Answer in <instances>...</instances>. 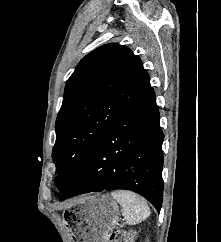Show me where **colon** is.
<instances>
[{
  "label": "colon",
  "instance_id": "5ec220e1",
  "mask_svg": "<svg viewBox=\"0 0 221 242\" xmlns=\"http://www.w3.org/2000/svg\"><path fill=\"white\" fill-rule=\"evenodd\" d=\"M134 239V232L118 229L110 235L109 242H134Z\"/></svg>",
  "mask_w": 221,
  "mask_h": 242
}]
</instances>
